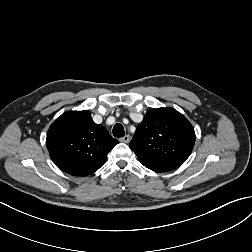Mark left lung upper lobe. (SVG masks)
<instances>
[{
	"label": "left lung upper lobe",
	"instance_id": "left-lung-upper-lobe-1",
	"mask_svg": "<svg viewBox=\"0 0 252 252\" xmlns=\"http://www.w3.org/2000/svg\"><path fill=\"white\" fill-rule=\"evenodd\" d=\"M195 144V132L190 122L172 108L148 111L137 127L130 148L146 166L154 162L183 163Z\"/></svg>",
	"mask_w": 252,
	"mask_h": 252
}]
</instances>
